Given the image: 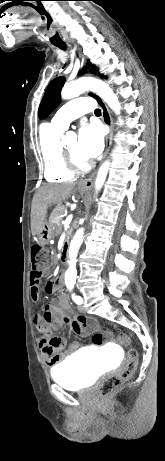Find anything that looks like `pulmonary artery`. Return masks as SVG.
<instances>
[{
    "label": "pulmonary artery",
    "mask_w": 165,
    "mask_h": 461,
    "mask_svg": "<svg viewBox=\"0 0 165 461\" xmlns=\"http://www.w3.org/2000/svg\"><path fill=\"white\" fill-rule=\"evenodd\" d=\"M95 103L91 98L80 97L73 99L62 106L51 120V124L65 130L69 123L85 113L91 112Z\"/></svg>",
    "instance_id": "e3ab8cb5"
}]
</instances>
